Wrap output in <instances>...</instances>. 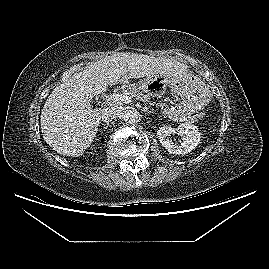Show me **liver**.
Here are the masks:
<instances>
[{"instance_id": "1", "label": "liver", "mask_w": 269, "mask_h": 269, "mask_svg": "<svg viewBox=\"0 0 269 269\" xmlns=\"http://www.w3.org/2000/svg\"><path fill=\"white\" fill-rule=\"evenodd\" d=\"M187 69V65L173 59L137 53L105 57L51 92L41 113L43 138L58 154L79 157L90 147L100 124L102 110L91 104L95 95L131 78L153 74L177 77L186 74Z\"/></svg>"}]
</instances>
